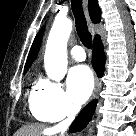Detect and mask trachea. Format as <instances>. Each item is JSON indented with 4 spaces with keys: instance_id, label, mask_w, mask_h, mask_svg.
<instances>
[{
    "instance_id": "trachea-1",
    "label": "trachea",
    "mask_w": 136,
    "mask_h": 136,
    "mask_svg": "<svg viewBox=\"0 0 136 136\" xmlns=\"http://www.w3.org/2000/svg\"><path fill=\"white\" fill-rule=\"evenodd\" d=\"M71 7L75 17L77 34L83 45L88 49H92V36L87 27L82 8V0H71Z\"/></svg>"
}]
</instances>
